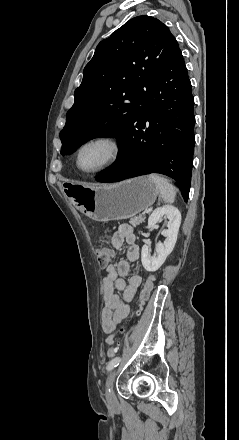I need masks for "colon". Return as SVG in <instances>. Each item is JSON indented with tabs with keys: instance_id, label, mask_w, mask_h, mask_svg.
Wrapping results in <instances>:
<instances>
[{
	"instance_id": "1",
	"label": "colon",
	"mask_w": 239,
	"mask_h": 440,
	"mask_svg": "<svg viewBox=\"0 0 239 440\" xmlns=\"http://www.w3.org/2000/svg\"><path fill=\"white\" fill-rule=\"evenodd\" d=\"M97 256L100 265L106 266L111 259L112 252L106 247H101L97 250ZM152 289H153V277H149L140 293V297H139L140 307H142L145 304V302L148 300ZM139 312L140 310L137 311V313ZM121 331H123V329ZM117 349H118L117 346L109 347L107 350V356L113 357L116 354Z\"/></svg>"
}]
</instances>
